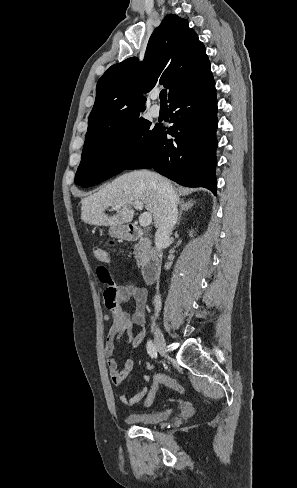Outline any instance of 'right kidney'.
<instances>
[{"instance_id":"1","label":"right kidney","mask_w":297,"mask_h":488,"mask_svg":"<svg viewBox=\"0 0 297 488\" xmlns=\"http://www.w3.org/2000/svg\"><path fill=\"white\" fill-rule=\"evenodd\" d=\"M189 236L190 237H193V232L192 231L189 232Z\"/></svg>"}]
</instances>
